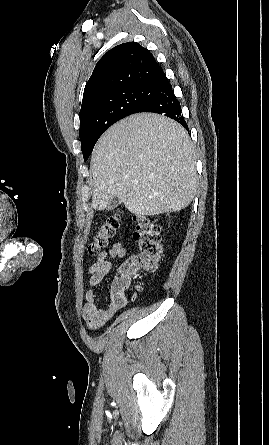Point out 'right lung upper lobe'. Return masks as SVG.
Returning a JSON list of instances; mask_svg holds the SVG:
<instances>
[{
    "label": "right lung upper lobe",
    "instance_id": "obj_1",
    "mask_svg": "<svg viewBox=\"0 0 269 445\" xmlns=\"http://www.w3.org/2000/svg\"><path fill=\"white\" fill-rule=\"evenodd\" d=\"M164 75L149 50L136 42L123 43L109 50L96 64L85 85L81 107L114 89L155 86Z\"/></svg>",
    "mask_w": 269,
    "mask_h": 445
}]
</instances>
